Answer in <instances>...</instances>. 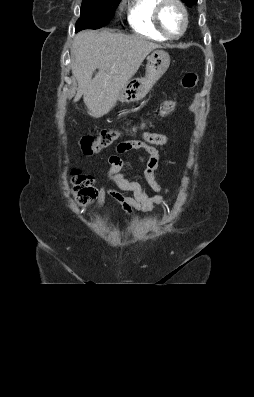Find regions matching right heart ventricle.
I'll list each match as a JSON object with an SVG mask.
<instances>
[{"label":"right heart ventricle","mask_w":254,"mask_h":397,"mask_svg":"<svg viewBox=\"0 0 254 397\" xmlns=\"http://www.w3.org/2000/svg\"><path fill=\"white\" fill-rule=\"evenodd\" d=\"M159 0H131L128 6V22L132 30L146 38L164 41L166 38L154 23V10Z\"/></svg>","instance_id":"e07e8e85"}]
</instances>
